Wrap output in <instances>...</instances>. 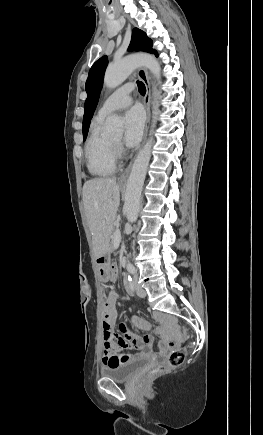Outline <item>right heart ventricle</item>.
I'll return each instance as SVG.
<instances>
[{
	"instance_id": "e07e8e85",
	"label": "right heart ventricle",
	"mask_w": 263,
	"mask_h": 435,
	"mask_svg": "<svg viewBox=\"0 0 263 435\" xmlns=\"http://www.w3.org/2000/svg\"><path fill=\"white\" fill-rule=\"evenodd\" d=\"M103 122V117H94L85 145L86 166L95 177L110 176L117 169V159L110 140L102 132Z\"/></svg>"
}]
</instances>
